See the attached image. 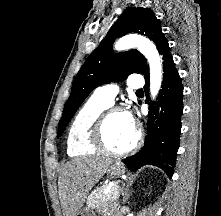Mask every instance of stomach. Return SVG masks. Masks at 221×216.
<instances>
[{
	"label": "stomach",
	"instance_id": "0dacf381",
	"mask_svg": "<svg viewBox=\"0 0 221 216\" xmlns=\"http://www.w3.org/2000/svg\"><path fill=\"white\" fill-rule=\"evenodd\" d=\"M107 173L110 175V177H119L124 174V167L121 163L116 162L108 167ZM77 216H94V212L91 209H87L85 211L79 212Z\"/></svg>",
	"mask_w": 221,
	"mask_h": 216
}]
</instances>
